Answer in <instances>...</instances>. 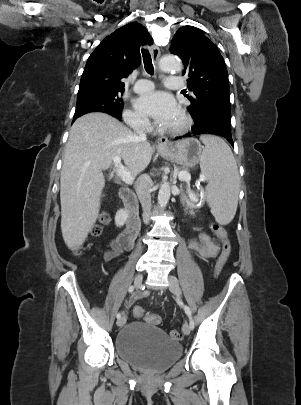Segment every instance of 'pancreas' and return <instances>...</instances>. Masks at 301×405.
<instances>
[{
    "label": "pancreas",
    "instance_id": "obj_1",
    "mask_svg": "<svg viewBox=\"0 0 301 405\" xmlns=\"http://www.w3.org/2000/svg\"><path fill=\"white\" fill-rule=\"evenodd\" d=\"M180 201L181 204L185 206L186 210L190 209L193 211V209H195L194 201L191 198H188L185 194L181 195Z\"/></svg>",
    "mask_w": 301,
    "mask_h": 405
}]
</instances>
